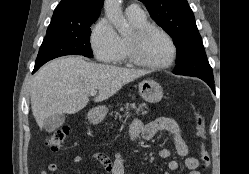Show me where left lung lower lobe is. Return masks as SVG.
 Wrapping results in <instances>:
<instances>
[{"label": "left lung lower lobe", "instance_id": "1", "mask_svg": "<svg viewBox=\"0 0 249 174\" xmlns=\"http://www.w3.org/2000/svg\"><path fill=\"white\" fill-rule=\"evenodd\" d=\"M205 81L212 89L213 93H215V85H214V78H207V77H198Z\"/></svg>", "mask_w": 249, "mask_h": 174}]
</instances>
